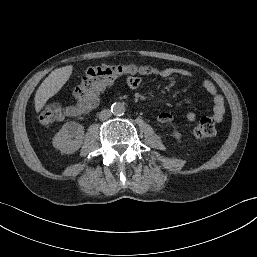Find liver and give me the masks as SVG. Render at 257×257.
<instances>
[{
    "label": "liver",
    "instance_id": "6515ba94",
    "mask_svg": "<svg viewBox=\"0 0 257 257\" xmlns=\"http://www.w3.org/2000/svg\"><path fill=\"white\" fill-rule=\"evenodd\" d=\"M73 71V66L57 68L41 83L35 94V111L38 113L46 102L57 94L63 85L69 80Z\"/></svg>",
    "mask_w": 257,
    "mask_h": 257
}]
</instances>
